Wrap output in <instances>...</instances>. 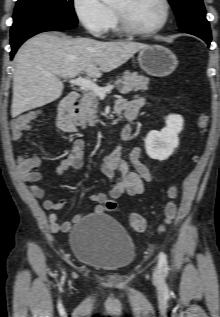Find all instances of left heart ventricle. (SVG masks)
<instances>
[{
    "label": "left heart ventricle",
    "instance_id": "obj_1",
    "mask_svg": "<svg viewBox=\"0 0 220 317\" xmlns=\"http://www.w3.org/2000/svg\"><path fill=\"white\" fill-rule=\"evenodd\" d=\"M112 7L122 11L130 24L140 30L156 27L164 17L161 0H115Z\"/></svg>",
    "mask_w": 220,
    "mask_h": 317
}]
</instances>
